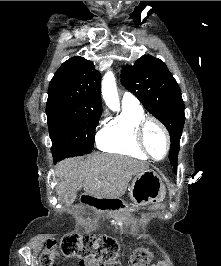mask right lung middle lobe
<instances>
[{"mask_svg": "<svg viewBox=\"0 0 221 266\" xmlns=\"http://www.w3.org/2000/svg\"><path fill=\"white\" fill-rule=\"evenodd\" d=\"M46 114L55 161L90 153L101 112H87L66 96H48Z\"/></svg>", "mask_w": 221, "mask_h": 266, "instance_id": "right-lung-middle-lobe-1", "label": "right lung middle lobe"}]
</instances>
